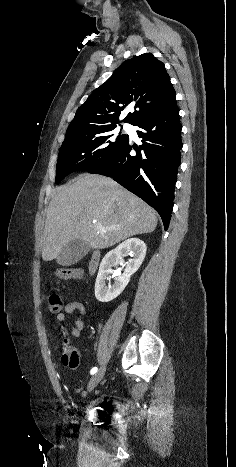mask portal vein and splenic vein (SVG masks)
I'll return each instance as SVG.
<instances>
[{"label":"portal vein and splenic vein","mask_w":236,"mask_h":467,"mask_svg":"<svg viewBox=\"0 0 236 467\" xmlns=\"http://www.w3.org/2000/svg\"><path fill=\"white\" fill-rule=\"evenodd\" d=\"M98 227H99L100 229H102V228H103V227H102V225H99ZM111 228H112V229H114L115 227H111Z\"/></svg>","instance_id":"18ae733b"}]
</instances>
